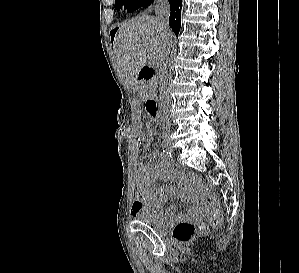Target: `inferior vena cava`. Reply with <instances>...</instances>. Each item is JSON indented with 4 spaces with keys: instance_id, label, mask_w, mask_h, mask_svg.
Wrapping results in <instances>:
<instances>
[{
    "instance_id": "inferior-vena-cava-1",
    "label": "inferior vena cava",
    "mask_w": 299,
    "mask_h": 273,
    "mask_svg": "<svg viewBox=\"0 0 299 273\" xmlns=\"http://www.w3.org/2000/svg\"><path fill=\"white\" fill-rule=\"evenodd\" d=\"M155 14L158 24L164 34H167L169 29L168 18L170 15V6L167 0H158L155 7ZM170 54V43L166 45L160 56V75L159 85L161 90V110L163 115L168 113L169 97L167 94V59ZM166 128V127H165Z\"/></svg>"
}]
</instances>
